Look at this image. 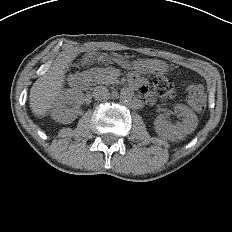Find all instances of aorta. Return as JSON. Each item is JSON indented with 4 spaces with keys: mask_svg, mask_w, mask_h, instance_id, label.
<instances>
[{
    "mask_svg": "<svg viewBox=\"0 0 232 232\" xmlns=\"http://www.w3.org/2000/svg\"><path fill=\"white\" fill-rule=\"evenodd\" d=\"M133 96H134V91L130 87H124L120 91V99L123 102H129V101H131L132 98H133Z\"/></svg>",
    "mask_w": 232,
    "mask_h": 232,
    "instance_id": "762f6f07",
    "label": "aorta"
}]
</instances>
